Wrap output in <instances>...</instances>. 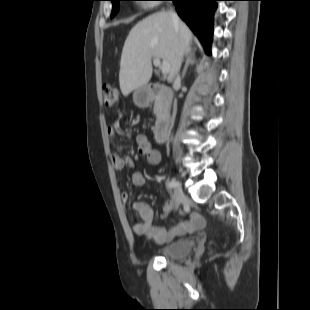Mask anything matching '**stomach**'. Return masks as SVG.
Wrapping results in <instances>:
<instances>
[{"label": "stomach", "instance_id": "0dacf381", "mask_svg": "<svg viewBox=\"0 0 310 310\" xmlns=\"http://www.w3.org/2000/svg\"><path fill=\"white\" fill-rule=\"evenodd\" d=\"M133 100H134L135 104L138 106L146 105L147 97H146L145 90L142 88L136 89L134 94H133Z\"/></svg>", "mask_w": 310, "mask_h": 310}]
</instances>
